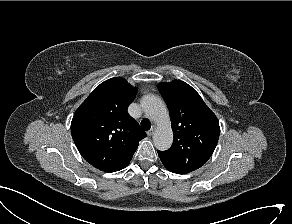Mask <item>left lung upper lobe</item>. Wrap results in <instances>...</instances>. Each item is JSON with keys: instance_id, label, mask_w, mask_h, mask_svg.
Segmentation results:
<instances>
[{"instance_id": "1", "label": "left lung upper lobe", "mask_w": 292, "mask_h": 224, "mask_svg": "<svg viewBox=\"0 0 292 224\" xmlns=\"http://www.w3.org/2000/svg\"><path fill=\"white\" fill-rule=\"evenodd\" d=\"M158 89L168 104L174 135L172 146L158 155L169 171L189 173L211 157L219 138L218 119L187 83L161 82Z\"/></svg>"}]
</instances>
